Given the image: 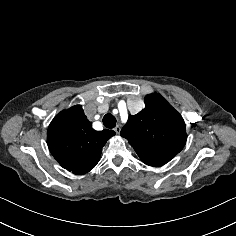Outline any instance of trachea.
I'll use <instances>...</instances> for the list:
<instances>
[{
	"label": "trachea",
	"mask_w": 236,
	"mask_h": 236,
	"mask_svg": "<svg viewBox=\"0 0 236 236\" xmlns=\"http://www.w3.org/2000/svg\"><path fill=\"white\" fill-rule=\"evenodd\" d=\"M103 124L106 128H114L116 126V118L111 114V113H107L106 115H104L103 117Z\"/></svg>",
	"instance_id": "3493384b"
}]
</instances>
